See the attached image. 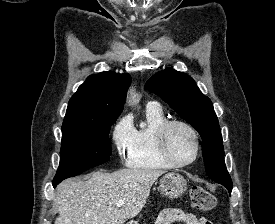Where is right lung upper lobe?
Segmentation results:
<instances>
[{"mask_svg": "<svg viewBox=\"0 0 275 224\" xmlns=\"http://www.w3.org/2000/svg\"><path fill=\"white\" fill-rule=\"evenodd\" d=\"M130 83L129 74L109 71L89 76L71 97L63 124L117 118Z\"/></svg>", "mask_w": 275, "mask_h": 224, "instance_id": "obj_1", "label": "right lung upper lobe"}]
</instances>
